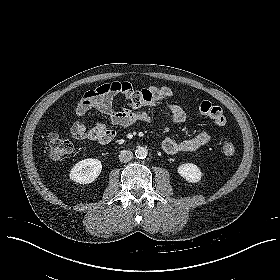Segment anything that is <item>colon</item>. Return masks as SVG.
I'll return each instance as SVG.
<instances>
[{"instance_id":"colon-1","label":"colon","mask_w":280,"mask_h":280,"mask_svg":"<svg viewBox=\"0 0 280 280\" xmlns=\"http://www.w3.org/2000/svg\"><path fill=\"white\" fill-rule=\"evenodd\" d=\"M114 91H119L117 88H112ZM127 100L136 98L138 96V91L130 88L126 91H123L121 94ZM200 113L205 117L213 120L217 125L223 126L227 122V118L224 115L223 111L215 105H212L209 102L203 103L200 106ZM102 135L103 142H109L113 136L107 130L102 129L99 132ZM48 144H49V152L50 156L53 158H62L65 156L70 155L73 152V145L72 143L59 135L57 132H52L48 136ZM235 153V146L233 143H227L223 147V154L226 158H231Z\"/></svg>"}]
</instances>
